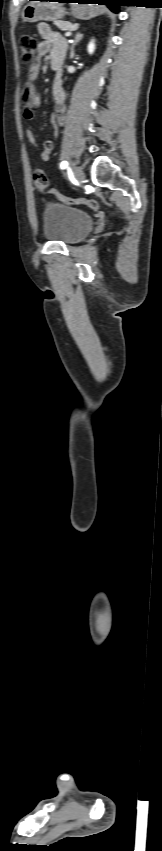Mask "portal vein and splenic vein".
<instances>
[{"label":"portal vein and splenic vein","mask_w":162,"mask_h":851,"mask_svg":"<svg viewBox=\"0 0 162 851\" xmlns=\"http://www.w3.org/2000/svg\"><path fill=\"white\" fill-rule=\"evenodd\" d=\"M71 34H72L71 32H66V33H65V36H66V37H69V36H71Z\"/></svg>","instance_id":"1"}]
</instances>
